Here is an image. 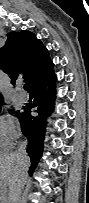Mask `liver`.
Returning a JSON list of instances; mask_svg holds the SVG:
<instances>
[{
	"label": "liver",
	"instance_id": "6515ba94",
	"mask_svg": "<svg viewBox=\"0 0 89 203\" xmlns=\"http://www.w3.org/2000/svg\"><path fill=\"white\" fill-rule=\"evenodd\" d=\"M29 164H30V161L28 159L27 161L28 167H29ZM21 166H22V163L15 153L0 155L1 197L4 198L8 193L7 200H4L5 203H13L18 182L21 180V172H20Z\"/></svg>",
	"mask_w": 89,
	"mask_h": 203
}]
</instances>
